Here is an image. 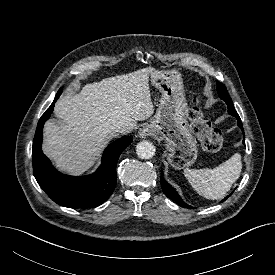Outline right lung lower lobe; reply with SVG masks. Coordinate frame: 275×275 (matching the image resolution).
I'll return each instance as SVG.
<instances>
[{
    "instance_id": "98d812e1",
    "label": "right lung lower lobe",
    "mask_w": 275,
    "mask_h": 275,
    "mask_svg": "<svg viewBox=\"0 0 275 275\" xmlns=\"http://www.w3.org/2000/svg\"><path fill=\"white\" fill-rule=\"evenodd\" d=\"M60 94V92L57 93L36 128L32 147L34 177L40 187L57 204L70 208H94L101 205L113 193L119 156L132 142V138L122 137L111 143L105 149L102 163L94 174L83 177L61 174L54 169L41 149L43 125L50 117Z\"/></svg>"
}]
</instances>
